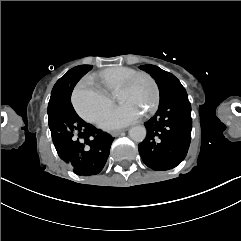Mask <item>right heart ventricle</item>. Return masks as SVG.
<instances>
[{"instance_id":"1","label":"right heart ventricle","mask_w":241,"mask_h":241,"mask_svg":"<svg viewBox=\"0 0 241 241\" xmlns=\"http://www.w3.org/2000/svg\"><path fill=\"white\" fill-rule=\"evenodd\" d=\"M132 72H134V70L128 67L119 65L110 66L94 75L97 78L96 87L99 89V92H102L105 96L107 91L116 90L121 86L122 77ZM82 85H84V81Z\"/></svg>"}]
</instances>
